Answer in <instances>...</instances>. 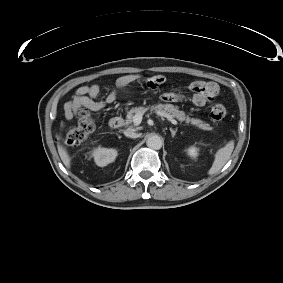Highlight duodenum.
<instances>
[{
    "mask_svg": "<svg viewBox=\"0 0 283 283\" xmlns=\"http://www.w3.org/2000/svg\"><path fill=\"white\" fill-rule=\"evenodd\" d=\"M108 125L111 129H118L123 125V118L121 116L112 117L109 120Z\"/></svg>",
    "mask_w": 283,
    "mask_h": 283,
    "instance_id": "410a0bca",
    "label": "duodenum"
}]
</instances>
